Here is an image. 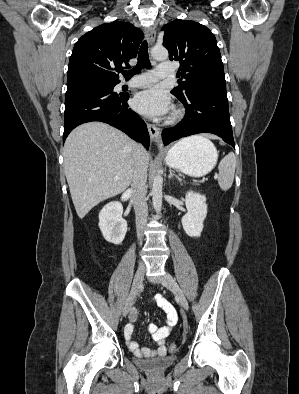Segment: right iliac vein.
<instances>
[{
    "mask_svg": "<svg viewBox=\"0 0 299 394\" xmlns=\"http://www.w3.org/2000/svg\"><path fill=\"white\" fill-rule=\"evenodd\" d=\"M144 273H145V267L143 265H139L138 269L135 273L134 279H133L130 294L126 300V303H125V306L123 309V316H126L129 313V311L134 303V300H135V298L139 292V289L141 287V284H142V281L144 278Z\"/></svg>",
    "mask_w": 299,
    "mask_h": 394,
    "instance_id": "right-iliac-vein-1",
    "label": "right iliac vein"
}]
</instances>
